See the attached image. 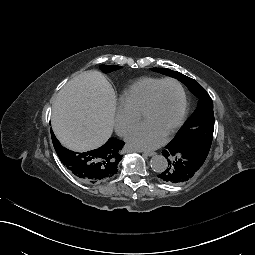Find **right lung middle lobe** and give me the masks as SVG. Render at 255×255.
Segmentation results:
<instances>
[{"mask_svg":"<svg viewBox=\"0 0 255 255\" xmlns=\"http://www.w3.org/2000/svg\"><path fill=\"white\" fill-rule=\"evenodd\" d=\"M120 68H121L120 66H115V65H101L100 66V69L105 73H108V72H111V71H114V70H117Z\"/></svg>","mask_w":255,"mask_h":255,"instance_id":"right-lung-middle-lobe-1","label":"right lung middle lobe"}]
</instances>
